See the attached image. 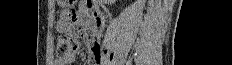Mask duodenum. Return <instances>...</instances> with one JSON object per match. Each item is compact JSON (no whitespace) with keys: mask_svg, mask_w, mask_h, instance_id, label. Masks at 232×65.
I'll return each instance as SVG.
<instances>
[{"mask_svg":"<svg viewBox=\"0 0 232 65\" xmlns=\"http://www.w3.org/2000/svg\"><path fill=\"white\" fill-rule=\"evenodd\" d=\"M83 28H88V25L87 24L83 25Z\"/></svg>","mask_w":232,"mask_h":65,"instance_id":"duodenum-1","label":"duodenum"}]
</instances>
